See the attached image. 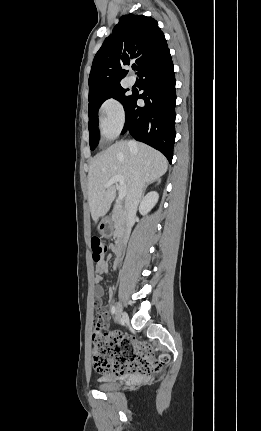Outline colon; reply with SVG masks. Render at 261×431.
Masks as SVG:
<instances>
[{
    "label": "colon",
    "instance_id": "obj_1",
    "mask_svg": "<svg viewBox=\"0 0 261 431\" xmlns=\"http://www.w3.org/2000/svg\"><path fill=\"white\" fill-rule=\"evenodd\" d=\"M93 260L99 264L108 250V245L99 237H92ZM134 338L119 332H104L102 321L97 318L93 332V363L98 372L133 374L148 377L158 373L170 361L166 354L154 358L151 349L142 345L136 350Z\"/></svg>",
    "mask_w": 261,
    "mask_h": 431
}]
</instances>
